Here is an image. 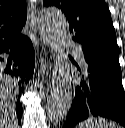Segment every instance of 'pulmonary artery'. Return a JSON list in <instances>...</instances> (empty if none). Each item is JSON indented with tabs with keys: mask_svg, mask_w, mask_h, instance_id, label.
<instances>
[{
	"mask_svg": "<svg viewBox=\"0 0 125 128\" xmlns=\"http://www.w3.org/2000/svg\"><path fill=\"white\" fill-rule=\"evenodd\" d=\"M61 43L64 47L73 48L76 58L80 61H83V52L76 47V43L70 38L63 37L61 38Z\"/></svg>",
	"mask_w": 125,
	"mask_h": 128,
	"instance_id": "obj_1",
	"label": "pulmonary artery"
}]
</instances>
